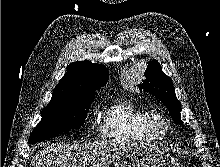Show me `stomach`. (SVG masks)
I'll return each mask as SVG.
<instances>
[{
    "instance_id": "0dacf381",
    "label": "stomach",
    "mask_w": 220,
    "mask_h": 167,
    "mask_svg": "<svg viewBox=\"0 0 220 167\" xmlns=\"http://www.w3.org/2000/svg\"><path fill=\"white\" fill-rule=\"evenodd\" d=\"M114 167H180L179 163L154 146L129 145Z\"/></svg>"
}]
</instances>
